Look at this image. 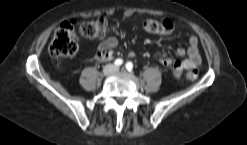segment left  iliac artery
Wrapping results in <instances>:
<instances>
[{
  "label": "left iliac artery",
  "instance_id": "1",
  "mask_svg": "<svg viewBox=\"0 0 247 145\" xmlns=\"http://www.w3.org/2000/svg\"><path fill=\"white\" fill-rule=\"evenodd\" d=\"M126 69H127L128 71H131V70L133 69V64H132V62H127V63H126Z\"/></svg>",
  "mask_w": 247,
  "mask_h": 145
}]
</instances>
